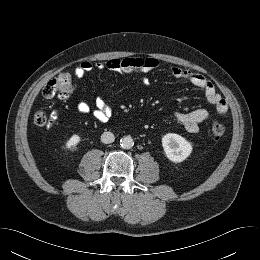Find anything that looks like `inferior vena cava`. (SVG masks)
I'll return each instance as SVG.
<instances>
[{
	"label": "inferior vena cava",
	"mask_w": 260,
	"mask_h": 260,
	"mask_svg": "<svg viewBox=\"0 0 260 260\" xmlns=\"http://www.w3.org/2000/svg\"><path fill=\"white\" fill-rule=\"evenodd\" d=\"M114 140H115L114 134L111 132H104L101 135V141L104 144H110V143L114 142Z\"/></svg>",
	"instance_id": "inferior-vena-cava-1"
}]
</instances>
